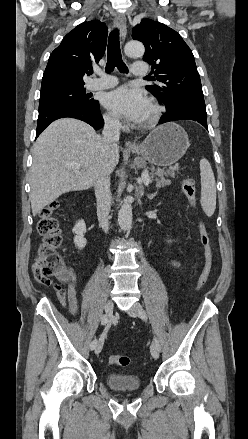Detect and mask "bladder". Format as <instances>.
<instances>
[{
  "instance_id": "1",
  "label": "bladder",
  "mask_w": 248,
  "mask_h": 439,
  "mask_svg": "<svg viewBox=\"0 0 248 439\" xmlns=\"http://www.w3.org/2000/svg\"><path fill=\"white\" fill-rule=\"evenodd\" d=\"M108 387L115 391H136L141 389V379L133 374L109 373L105 378Z\"/></svg>"
}]
</instances>
